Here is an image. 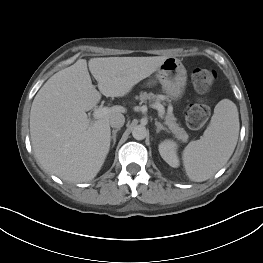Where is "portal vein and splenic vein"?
I'll use <instances>...</instances> for the list:
<instances>
[{
  "label": "portal vein and splenic vein",
  "instance_id": "18ae733b",
  "mask_svg": "<svg viewBox=\"0 0 263 263\" xmlns=\"http://www.w3.org/2000/svg\"><path fill=\"white\" fill-rule=\"evenodd\" d=\"M152 108L158 110L159 117H161V118L163 117V115H164V107L161 104H153ZM109 112H110V108L109 107L99 106V107L94 109L93 117L95 119H100V118L104 117L105 115H107Z\"/></svg>",
  "mask_w": 263,
  "mask_h": 263
}]
</instances>
